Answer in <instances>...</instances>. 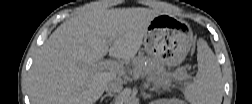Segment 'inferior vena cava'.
<instances>
[{
  "label": "inferior vena cava",
  "instance_id": "inferior-vena-cava-1",
  "mask_svg": "<svg viewBox=\"0 0 252 104\" xmlns=\"http://www.w3.org/2000/svg\"><path fill=\"white\" fill-rule=\"evenodd\" d=\"M123 86L122 83L117 81V80H113L107 83L106 87H105V91L107 93H118L122 90Z\"/></svg>",
  "mask_w": 252,
  "mask_h": 104
}]
</instances>
